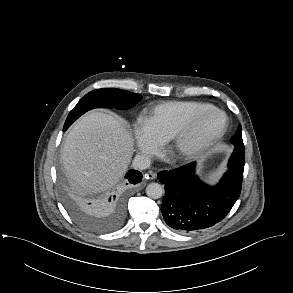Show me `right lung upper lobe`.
Segmentation results:
<instances>
[{
	"label": "right lung upper lobe",
	"instance_id": "1",
	"mask_svg": "<svg viewBox=\"0 0 293 293\" xmlns=\"http://www.w3.org/2000/svg\"><path fill=\"white\" fill-rule=\"evenodd\" d=\"M91 209L92 210H97L98 211V209H96V208H94L93 206L91 207ZM104 215H107V214H109V213H103Z\"/></svg>",
	"mask_w": 293,
	"mask_h": 293
}]
</instances>
